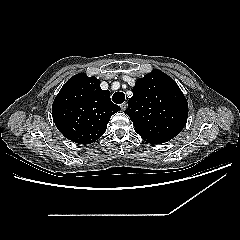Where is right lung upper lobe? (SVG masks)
<instances>
[{
    "instance_id": "right-lung-upper-lobe-1",
    "label": "right lung upper lobe",
    "mask_w": 240,
    "mask_h": 240,
    "mask_svg": "<svg viewBox=\"0 0 240 240\" xmlns=\"http://www.w3.org/2000/svg\"><path fill=\"white\" fill-rule=\"evenodd\" d=\"M120 107L110 100V92L100 88V80L80 73L61 88L52 105L58 130L78 144H90L106 131L110 117Z\"/></svg>"
}]
</instances>
